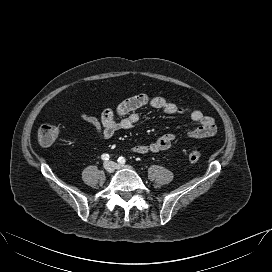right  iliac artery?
Listing matches in <instances>:
<instances>
[{"instance_id":"1","label":"right iliac artery","mask_w":272,"mask_h":272,"mask_svg":"<svg viewBox=\"0 0 272 272\" xmlns=\"http://www.w3.org/2000/svg\"><path fill=\"white\" fill-rule=\"evenodd\" d=\"M109 157L110 156L108 154H106V153L101 155V159L104 160V161L109 160Z\"/></svg>"}]
</instances>
